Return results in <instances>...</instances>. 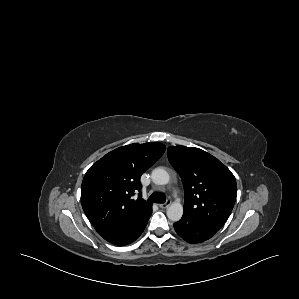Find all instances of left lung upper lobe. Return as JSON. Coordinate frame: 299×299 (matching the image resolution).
<instances>
[{
	"label": "left lung upper lobe",
	"instance_id": "5c2ea615",
	"mask_svg": "<svg viewBox=\"0 0 299 299\" xmlns=\"http://www.w3.org/2000/svg\"><path fill=\"white\" fill-rule=\"evenodd\" d=\"M167 154L184 185L183 215L218 231L236 200L234 175L217 158L199 148L170 146Z\"/></svg>",
	"mask_w": 299,
	"mask_h": 299
}]
</instances>
